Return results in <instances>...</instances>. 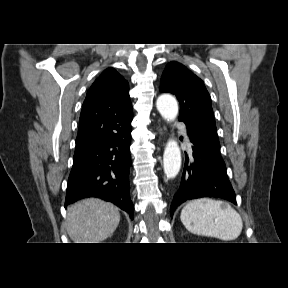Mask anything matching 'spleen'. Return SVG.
Listing matches in <instances>:
<instances>
[{
  "label": "spleen",
  "instance_id": "3e777b00",
  "mask_svg": "<svg viewBox=\"0 0 288 288\" xmlns=\"http://www.w3.org/2000/svg\"><path fill=\"white\" fill-rule=\"evenodd\" d=\"M180 219L189 232L224 241L236 239L243 228L242 218L234 208L224 201L209 198L187 203Z\"/></svg>",
  "mask_w": 288,
  "mask_h": 288
}]
</instances>
